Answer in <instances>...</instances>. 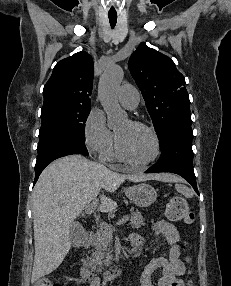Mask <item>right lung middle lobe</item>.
I'll return each mask as SVG.
<instances>
[{"label":"right lung middle lobe","instance_id":"dd1d6c3e","mask_svg":"<svg viewBox=\"0 0 231 286\" xmlns=\"http://www.w3.org/2000/svg\"><path fill=\"white\" fill-rule=\"evenodd\" d=\"M91 105L57 103L43 106L38 148L62 138L85 142V122Z\"/></svg>","mask_w":231,"mask_h":286}]
</instances>
